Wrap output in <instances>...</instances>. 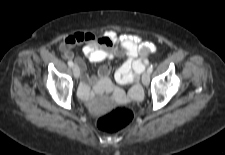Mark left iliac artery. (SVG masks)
Instances as JSON below:
<instances>
[{"mask_svg":"<svg viewBox=\"0 0 225 155\" xmlns=\"http://www.w3.org/2000/svg\"><path fill=\"white\" fill-rule=\"evenodd\" d=\"M147 71H148L149 73H152V71H153V65H150Z\"/></svg>","mask_w":225,"mask_h":155,"instance_id":"1","label":"left iliac artery"}]
</instances>
